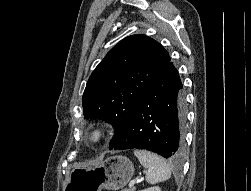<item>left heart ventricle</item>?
<instances>
[{"label":"left heart ventricle","instance_id":"b2bd125f","mask_svg":"<svg viewBox=\"0 0 251 191\" xmlns=\"http://www.w3.org/2000/svg\"><path fill=\"white\" fill-rule=\"evenodd\" d=\"M89 140L92 141V142H95L97 140V137L92 135L89 137Z\"/></svg>","mask_w":251,"mask_h":191}]
</instances>
